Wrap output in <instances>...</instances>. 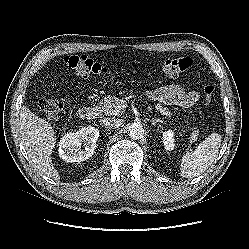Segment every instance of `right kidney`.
I'll return each mask as SVG.
<instances>
[{
  "instance_id": "obj_1",
  "label": "right kidney",
  "mask_w": 249,
  "mask_h": 249,
  "mask_svg": "<svg viewBox=\"0 0 249 249\" xmlns=\"http://www.w3.org/2000/svg\"><path fill=\"white\" fill-rule=\"evenodd\" d=\"M98 137L99 130L92 126L65 134L58 144L60 158L70 163L89 159L95 152Z\"/></svg>"
}]
</instances>
